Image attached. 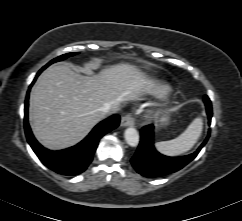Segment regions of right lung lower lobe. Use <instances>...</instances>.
Returning <instances> with one entry per match:
<instances>
[{
  "instance_id": "obj_1",
  "label": "right lung lower lobe",
  "mask_w": 242,
  "mask_h": 221,
  "mask_svg": "<svg viewBox=\"0 0 242 221\" xmlns=\"http://www.w3.org/2000/svg\"><path fill=\"white\" fill-rule=\"evenodd\" d=\"M43 70L44 69H41L37 73L29 89ZM29 92L30 90H28L25 99L24 127L27 141L35 154L45 166L59 174L73 176L84 172L92 161L100 138L118 127L120 123L119 115L115 114L100 122L94 127L90 134L77 145L60 151H50L37 142L28 124Z\"/></svg>"
}]
</instances>
